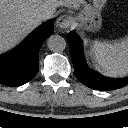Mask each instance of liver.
<instances>
[{
  "mask_svg": "<svg viewBox=\"0 0 128 128\" xmlns=\"http://www.w3.org/2000/svg\"><path fill=\"white\" fill-rule=\"evenodd\" d=\"M83 0H0V54L15 47L41 24L37 18L40 7L55 13L60 6L79 9Z\"/></svg>",
  "mask_w": 128,
  "mask_h": 128,
  "instance_id": "6515ba94",
  "label": "liver"
}]
</instances>
